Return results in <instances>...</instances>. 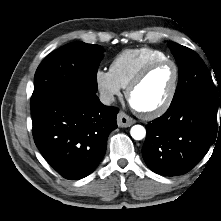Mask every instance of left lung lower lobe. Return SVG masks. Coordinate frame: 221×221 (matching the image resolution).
<instances>
[{
	"label": "left lung lower lobe",
	"instance_id": "left-lung-lower-lobe-1",
	"mask_svg": "<svg viewBox=\"0 0 221 221\" xmlns=\"http://www.w3.org/2000/svg\"><path fill=\"white\" fill-rule=\"evenodd\" d=\"M216 108L198 97L171 103L164 115L146 125L142 155L147 166L164 176H178L193 169L221 128Z\"/></svg>",
	"mask_w": 221,
	"mask_h": 221
}]
</instances>
